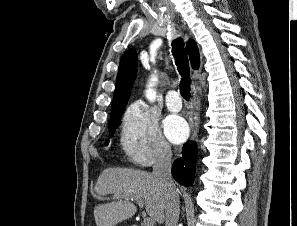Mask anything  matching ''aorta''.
I'll return each mask as SVG.
<instances>
[{
  "mask_svg": "<svg viewBox=\"0 0 297 226\" xmlns=\"http://www.w3.org/2000/svg\"><path fill=\"white\" fill-rule=\"evenodd\" d=\"M157 80V77L155 75H152L149 83L147 85V90H146V98L150 101V102H154L155 100V92L153 91L152 87L154 82Z\"/></svg>",
  "mask_w": 297,
  "mask_h": 226,
  "instance_id": "aorta-1",
  "label": "aorta"
}]
</instances>
